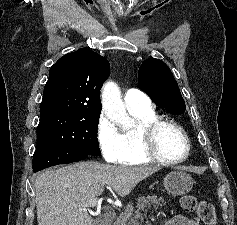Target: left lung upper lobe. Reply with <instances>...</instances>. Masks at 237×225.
Segmentation results:
<instances>
[{
  "label": "left lung upper lobe",
  "instance_id": "1",
  "mask_svg": "<svg viewBox=\"0 0 237 225\" xmlns=\"http://www.w3.org/2000/svg\"><path fill=\"white\" fill-rule=\"evenodd\" d=\"M138 83L159 107L166 108L174 115L185 112L186 105L178 84L163 61L155 58L146 59L139 68Z\"/></svg>",
  "mask_w": 237,
  "mask_h": 225
}]
</instances>
